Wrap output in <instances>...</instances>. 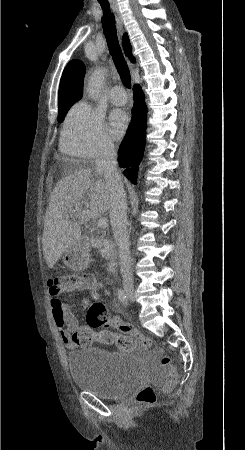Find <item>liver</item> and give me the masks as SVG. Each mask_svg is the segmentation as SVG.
<instances>
[{"label":"liver","instance_id":"6515ba94","mask_svg":"<svg viewBox=\"0 0 245 450\" xmlns=\"http://www.w3.org/2000/svg\"><path fill=\"white\" fill-rule=\"evenodd\" d=\"M109 209L110 191L102 173L80 168L58 181L44 219L42 247L48 267L80 239L82 224Z\"/></svg>","mask_w":245,"mask_h":450}]
</instances>
